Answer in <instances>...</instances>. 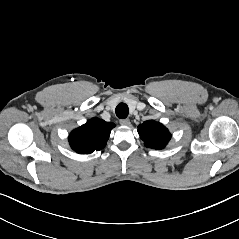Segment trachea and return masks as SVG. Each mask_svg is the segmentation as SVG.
I'll list each match as a JSON object with an SVG mask.
<instances>
[{
    "mask_svg": "<svg viewBox=\"0 0 239 239\" xmlns=\"http://www.w3.org/2000/svg\"><path fill=\"white\" fill-rule=\"evenodd\" d=\"M115 112L118 118L125 119L129 114V109L125 103H119L116 107Z\"/></svg>",
    "mask_w": 239,
    "mask_h": 239,
    "instance_id": "3493384b",
    "label": "trachea"
}]
</instances>
